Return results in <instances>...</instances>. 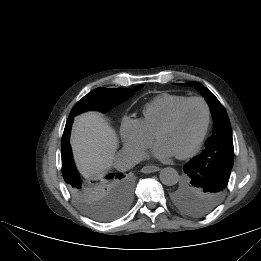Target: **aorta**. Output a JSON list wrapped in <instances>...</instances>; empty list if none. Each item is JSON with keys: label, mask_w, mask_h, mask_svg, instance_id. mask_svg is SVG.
I'll use <instances>...</instances> for the list:
<instances>
[{"label": "aorta", "mask_w": 261, "mask_h": 261, "mask_svg": "<svg viewBox=\"0 0 261 261\" xmlns=\"http://www.w3.org/2000/svg\"><path fill=\"white\" fill-rule=\"evenodd\" d=\"M159 178L162 184L166 186H173L177 184L179 174L174 168L166 167L160 171Z\"/></svg>", "instance_id": "1"}]
</instances>
